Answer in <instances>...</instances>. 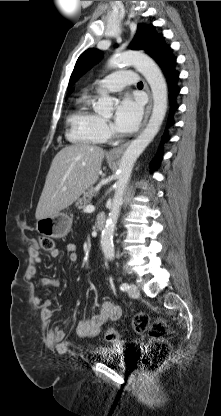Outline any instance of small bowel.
<instances>
[{"instance_id":"c3829d8e","label":"small bowel","mask_w":221,"mask_h":416,"mask_svg":"<svg viewBox=\"0 0 221 416\" xmlns=\"http://www.w3.org/2000/svg\"><path fill=\"white\" fill-rule=\"evenodd\" d=\"M68 254V261L70 263H76L78 261L77 245L69 243L66 246ZM52 257H58L60 252L58 249H54L50 252ZM42 263V258L38 250L33 249L31 252L30 266L27 271V275L32 279L36 272L37 267ZM41 286H59V280L56 278L43 277L39 280ZM35 304L41 307L42 316L49 321L53 316L52 301L49 299H42L39 296L35 297ZM121 316V308L112 301H103L100 307L99 313L90 320H82L77 324L76 333L79 337H93L96 336L102 327L110 322L116 321ZM53 337L57 342L63 341L65 333L61 329H56L53 332Z\"/></svg>"}]
</instances>
